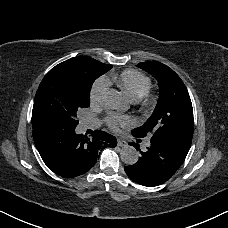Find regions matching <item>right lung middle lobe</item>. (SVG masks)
Masks as SVG:
<instances>
[{"label": "right lung middle lobe", "instance_id": "dd1d6c3e", "mask_svg": "<svg viewBox=\"0 0 228 228\" xmlns=\"http://www.w3.org/2000/svg\"><path fill=\"white\" fill-rule=\"evenodd\" d=\"M112 68L99 61L78 73L52 68L39 85L32 111L33 130L76 128L77 111L90 105L96 78Z\"/></svg>", "mask_w": 228, "mask_h": 228}]
</instances>
